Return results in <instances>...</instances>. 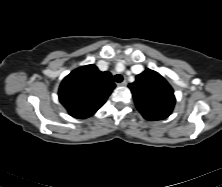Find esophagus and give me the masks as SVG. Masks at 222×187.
Listing matches in <instances>:
<instances>
[{
    "mask_svg": "<svg viewBox=\"0 0 222 187\" xmlns=\"http://www.w3.org/2000/svg\"><path fill=\"white\" fill-rule=\"evenodd\" d=\"M127 85V81L124 80L121 83H118V86H126Z\"/></svg>",
    "mask_w": 222,
    "mask_h": 187,
    "instance_id": "obj_1",
    "label": "esophagus"
}]
</instances>
